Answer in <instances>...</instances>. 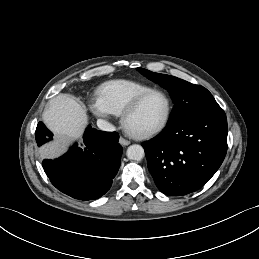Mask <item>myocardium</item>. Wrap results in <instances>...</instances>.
<instances>
[{
	"label": "myocardium",
	"instance_id": "obj_1",
	"mask_svg": "<svg viewBox=\"0 0 259 259\" xmlns=\"http://www.w3.org/2000/svg\"><path fill=\"white\" fill-rule=\"evenodd\" d=\"M155 93L162 94L166 99V112H165V115H164L162 121L157 126L153 127L152 129H149L147 131H144V132L137 133V132L130 130L126 125V121H127L128 117L137 110V108L140 106V104L148 96L155 94ZM171 112H172V100H171L169 94L162 89L155 88V89H150V90L138 95L137 97H135L121 113L120 121H121V124H122V127L124 128V130L131 137L137 138V139H145V138H148V137H151V136L157 134L166 126V124L168 123L169 118L171 116Z\"/></svg>",
	"mask_w": 259,
	"mask_h": 259
}]
</instances>
